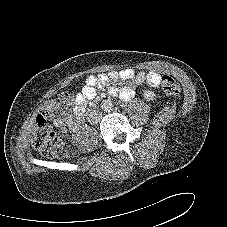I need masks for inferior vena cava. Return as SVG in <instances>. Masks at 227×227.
I'll return each instance as SVG.
<instances>
[{"label": "inferior vena cava", "instance_id": "obj_1", "mask_svg": "<svg viewBox=\"0 0 227 227\" xmlns=\"http://www.w3.org/2000/svg\"><path fill=\"white\" fill-rule=\"evenodd\" d=\"M94 114H96V112H95V111L90 113V115H91V116H93Z\"/></svg>", "mask_w": 227, "mask_h": 227}]
</instances>
